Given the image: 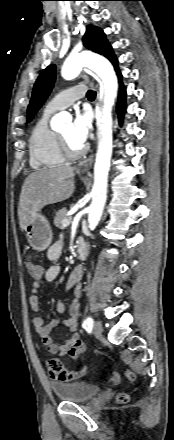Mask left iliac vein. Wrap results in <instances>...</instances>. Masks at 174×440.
<instances>
[{
  "mask_svg": "<svg viewBox=\"0 0 174 440\" xmlns=\"http://www.w3.org/2000/svg\"><path fill=\"white\" fill-rule=\"evenodd\" d=\"M92 330H93V333H94L95 336H97V337L101 336L102 331H103V327H102V323H101V321L96 320V321L94 322V325H93V329H92Z\"/></svg>",
  "mask_w": 174,
  "mask_h": 440,
  "instance_id": "4c4485c4",
  "label": "left iliac vein"
}]
</instances>
